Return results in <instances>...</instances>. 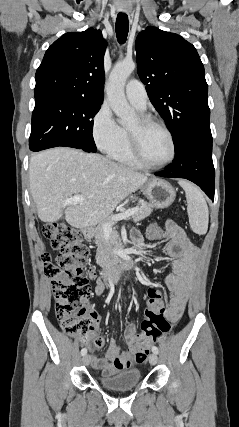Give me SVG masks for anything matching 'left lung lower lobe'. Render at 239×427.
<instances>
[{"label":"left lung lower lobe","instance_id":"0a47b994","mask_svg":"<svg viewBox=\"0 0 239 427\" xmlns=\"http://www.w3.org/2000/svg\"><path fill=\"white\" fill-rule=\"evenodd\" d=\"M155 175L188 179L197 184L213 201L215 170L212 161V136H197L187 140L175 151L173 163Z\"/></svg>","mask_w":239,"mask_h":427}]
</instances>
